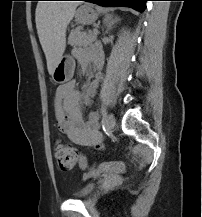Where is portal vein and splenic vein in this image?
<instances>
[{"mask_svg":"<svg viewBox=\"0 0 202 217\" xmlns=\"http://www.w3.org/2000/svg\"><path fill=\"white\" fill-rule=\"evenodd\" d=\"M94 34L97 35L98 34V30L94 29Z\"/></svg>","mask_w":202,"mask_h":217,"instance_id":"18ae733b","label":"portal vein and splenic vein"}]
</instances>
